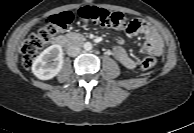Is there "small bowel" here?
Masks as SVG:
<instances>
[{"mask_svg": "<svg viewBox=\"0 0 194 133\" xmlns=\"http://www.w3.org/2000/svg\"><path fill=\"white\" fill-rule=\"evenodd\" d=\"M126 33L130 36L142 34L145 42L142 46L143 51L151 56H160L163 51V41L156 28L150 23L135 19L126 26ZM113 56L125 68L133 70L138 67V62L134 60L122 46H116L113 49Z\"/></svg>", "mask_w": 194, "mask_h": 133, "instance_id": "obj_1", "label": "small bowel"}]
</instances>
